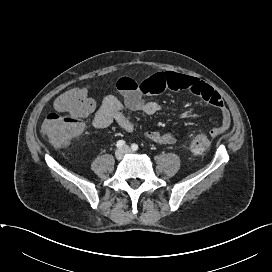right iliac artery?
<instances>
[{
    "label": "right iliac artery",
    "instance_id": "obj_1",
    "mask_svg": "<svg viewBox=\"0 0 272 272\" xmlns=\"http://www.w3.org/2000/svg\"><path fill=\"white\" fill-rule=\"evenodd\" d=\"M125 145V141L124 140H119L118 142H117V144H116V146L118 147V148H121V147H123Z\"/></svg>",
    "mask_w": 272,
    "mask_h": 272
}]
</instances>
